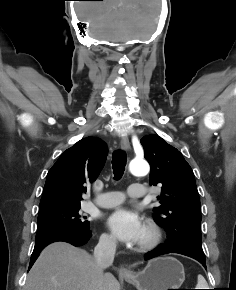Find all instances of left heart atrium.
Segmentation results:
<instances>
[{"mask_svg":"<svg viewBox=\"0 0 236 290\" xmlns=\"http://www.w3.org/2000/svg\"><path fill=\"white\" fill-rule=\"evenodd\" d=\"M106 224L116 238L126 243H136L143 235L144 229L139 216L126 208L113 211Z\"/></svg>","mask_w":236,"mask_h":290,"instance_id":"1","label":"left heart atrium"}]
</instances>
